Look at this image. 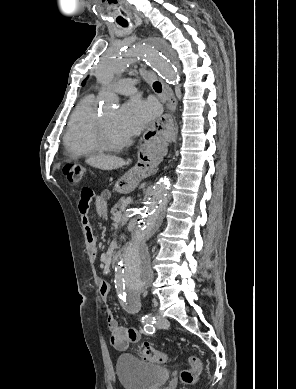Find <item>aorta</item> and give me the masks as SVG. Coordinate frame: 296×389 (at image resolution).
Masks as SVG:
<instances>
[{"mask_svg": "<svg viewBox=\"0 0 296 389\" xmlns=\"http://www.w3.org/2000/svg\"><path fill=\"white\" fill-rule=\"evenodd\" d=\"M164 51H168L164 42L151 40L109 52L96 65V79L100 84L108 85L133 62H143L144 66H152L168 82L178 83L179 76L174 61H170ZM104 102L107 105L111 100L104 98ZM169 194L170 179L161 178L150 192L130 241L121 249L115 268V284L123 296L137 295L152 283L154 269L148 242L164 219Z\"/></svg>", "mask_w": 296, "mask_h": 389, "instance_id": "aorta-1", "label": "aorta"}]
</instances>
